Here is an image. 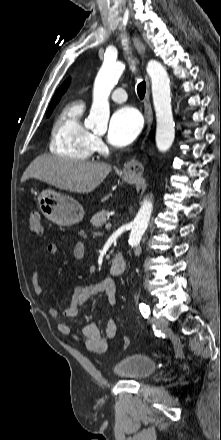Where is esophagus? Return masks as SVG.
<instances>
[{"mask_svg":"<svg viewBox=\"0 0 221 440\" xmlns=\"http://www.w3.org/2000/svg\"><path fill=\"white\" fill-rule=\"evenodd\" d=\"M133 41H134V45H135V48H136L138 54L140 55L142 60H144V58H145L144 44L136 36H134ZM145 81H146V93H145V100H144V118H145L146 128H145V132H144V138L141 143L142 150L144 149V144H145V141L149 135L152 121H153V111H152V106H151V101H150V82H149V78L147 75L145 76ZM143 171H144L143 164L137 158H133L130 161H128L127 163H125L124 168H123V173L125 175L131 176V177H140L143 174Z\"/></svg>","mask_w":221,"mask_h":440,"instance_id":"1","label":"esophagus"}]
</instances>
